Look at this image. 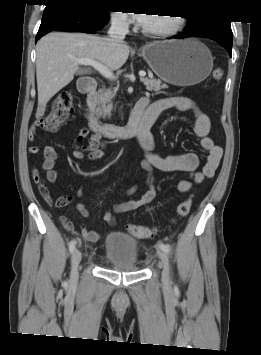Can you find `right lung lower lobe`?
Here are the masks:
<instances>
[{"label":"right lung lower lobe","mask_w":261,"mask_h":355,"mask_svg":"<svg viewBox=\"0 0 261 355\" xmlns=\"http://www.w3.org/2000/svg\"><path fill=\"white\" fill-rule=\"evenodd\" d=\"M109 21L108 13H98L80 2L46 4L35 41L51 31L93 33Z\"/></svg>","instance_id":"98d812e1"}]
</instances>
